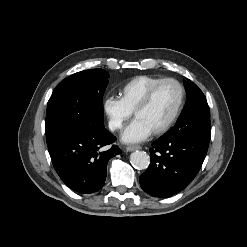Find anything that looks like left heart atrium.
I'll return each instance as SVG.
<instances>
[{"instance_id": "left-heart-atrium-1", "label": "left heart atrium", "mask_w": 247, "mask_h": 247, "mask_svg": "<svg viewBox=\"0 0 247 247\" xmlns=\"http://www.w3.org/2000/svg\"><path fill=\"white\" fill-rule=\"evenodd\" d=\"M152 131L139 119L135 118L122 132V140L128 143L146 140Z\"/></svg>"}]
</instances>
